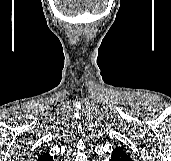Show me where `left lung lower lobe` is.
Masks as SVG:
<instances>
[{
    "label": "left lung lower lobe",
    "mask_w": 171,
    "mask_h": 161,
    "mask_svg": "<svg viewBox=\"0 0 171 161\" xmlns=\"http://www.w3.org/2000/svg\"><path fill=\"white\" fill-rule=\"evenodd\" d=\"M110 161H123L122 159H120V158H111V160Z\"/></svg>",
    "instance_id": "1"
}]
</instances>
